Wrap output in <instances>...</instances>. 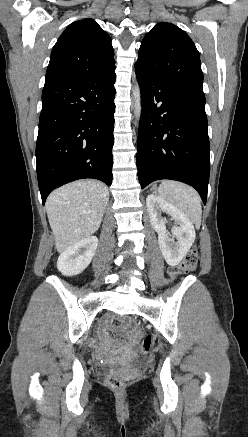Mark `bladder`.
Segmentation results:
<instances>
[{
    "instance_id": "1",
    "label": "bladder",
    "mask_w": 248,
    "mask_h": 437,
    "mask_svg": "<svg viewBox=\"0 0 248 437\" xmlns=\"http://www.w3.org/2000/svg\"><path fill=\"white\" fill-rule=\"evenodd\" d=\"M144 364H145L144 360L137 359V360H134L131 363L125 364V365H112V366H109L107 369L111 372H114V373H121V372L128 371V370L138 369V368L144 366Z\"/></svg>"
}]
</instances>
